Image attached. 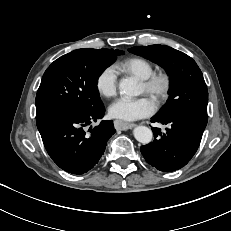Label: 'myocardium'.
I'll use <instances>...</instances> for the list:
<instances>
[{"label":"myocardium","instance_id":"f54148a6","mask_svg":"<svg viewBox=\"0 0 231 231\" xmlns=\"http://www.w3.org/2000/svg\"><path fill=\"white\" fill-rule=\"evenodd\" d=\"M172 76L168 71L153 72L143 80V89L150 95L156 105L162 104L169 96Z\"/></svg>","mask_w":231,"mask_h":231}]
</instances>
